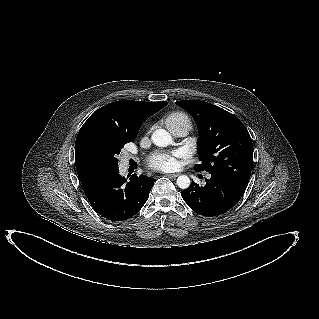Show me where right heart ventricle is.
<instances>
[{"mask_svg":"<svg viewBox=\"0 0 319 319\" xmlns=\"http://www.w3.org/2000/svg\"><path fill=\"white\" fill-rule=\"evenodd\" d=\"M165 123L168 128L175 126V125H183L190 129L191 122L188 116L182 112H174L167 116Z\"/></svg>","mask_w":319,"mask_h":319,"instance_id":"e07e8e85","label":"right heart ventricle"}]
</instances>
